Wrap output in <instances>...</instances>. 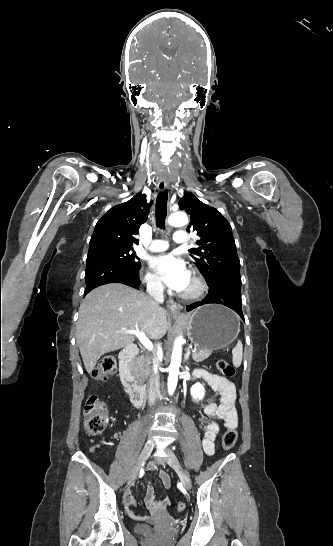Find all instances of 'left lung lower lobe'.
<instances>
[{
  "label": "left lung lower lobe",
  "mask_w": 333,
  "mask_h": 546,
  "mask_svg": "<svg viewBox=\"0 0 333 546\" xmlns=\"http://www.w3.org/2000/svg\"><path fill=\"white\" fill-rule=\"evenodd\" d=\"M209 293L201 302L187 306L190 311L205 304H222L239 314L244 320L241 299V278L239 272L228 273L215 278L208 284Z\"/></svg>",
  "instance_id": "left-lung-lower-lobe-1"
}]
</instances>
